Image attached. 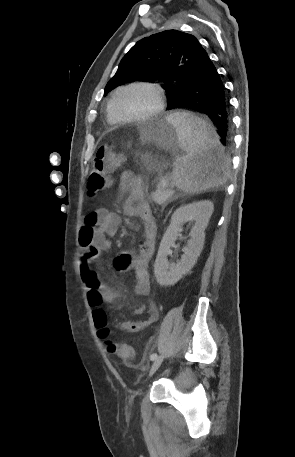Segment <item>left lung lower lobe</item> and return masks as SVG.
Instances as JSON below:
<instances>
[{"mask_svg":"<svg viewBox=\"0 0 295 457\" xmlns=\"http://www.w3.org/2000/svg\"><path fill=\"white\" fill-rule=\"evenodd\" d=\"M188 79L168 109L188 108L207 115L216 125L223 146L231 142V120L225 88L207 52L201 48L188 69Z\"/></svg>","mask_w":295,"mask_h":457,"instance_id":"0a47b994","label":"left lung lower lobe"}]
</instances>
